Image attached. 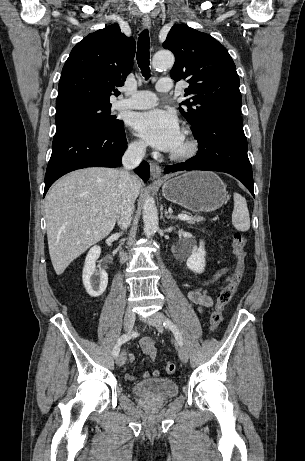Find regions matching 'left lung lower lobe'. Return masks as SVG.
Instances as JSON below:
<instances>
[{
    "mask_svg": "<svg viewBox=\"0 0 305 461\" xmlns=\"http://www.w3.org/2000/svg\"><path fill=\"white\" fill-rule=\"evenodd\" d=\"M199 144L197 155L186 162L168 166L165 173L182 170H211L233 175L254 196L252 167L241 114L225 112L206 118L193 131Z\"/></svg>",
    "mask_w": 305,
    "mask_h": 461,
    "instance_id": "obj_1",
    "label": "left lung lower lobe"
}]
</instances>
